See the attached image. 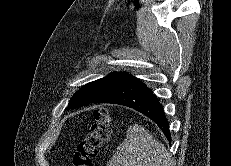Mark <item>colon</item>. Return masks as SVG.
Listing matches in <instances>:
<instances>
[{
    "label": "colon",
    "mask_w": 231,
    "mask_h": 166,
    "mask_svg": "<svg viewBox=\"0 0 231 166\" xmlns=\"http://www.w3.org/2000/svg\"><path fill=\"white\" fill-rule=\"evenodd\" d=\"M111 115L100 108L94 113L89 132L79 141L72 157V166H91L102 144L109 139Z\"/></svg>",
    "instance_id": "colon-1"
}]
</instances>
